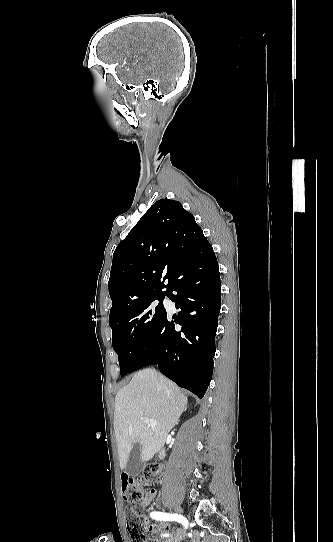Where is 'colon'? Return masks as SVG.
Returning a JSON list of instances; mask_svg holds the SVG:
<instances>
[{"mask_svg":"<svg viewBox=\"0 0 333 542\" xmlns=\"http://www.w3.org/2000/svg\"><path fill=\"white\" fill-rule=\"evenodd\" d=\"M160 478V470L157 465L150 464L145 466L140 476L129 477L128 489H122L124 499L129 501L125 505L128 520V530L133 539V542H146V537L143 532V524L140 522L142 518V510L140 504L146 498V484L154 483ZM138 504H137V503Z\"/></svg>","mask_w":333,"mask_h":542,"instance_id":"5ec220e1","label":"colon"}]
</instances>
